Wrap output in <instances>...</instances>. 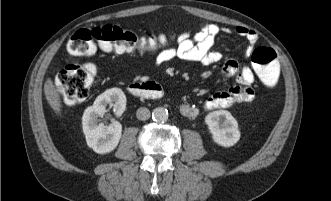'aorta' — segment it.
Returning <instances> with one entry per match:
<instances>
[{
  "instance_id": "762f6f07",
  "label": "aorta",
  "mask_w": 331,
  "mask_h": 201,
  "mask_svg": "<svg viewBox=\"0 0 331 201\" xmlns=\"http://www.w3.org/2000/svg\"><path fill=\"white\" fill-rule=\"evenodd\" d=\"M152 118L156 122H165L168 119V110L163 107H157L152 112Z\"/></svg>"
}]
</instances>
